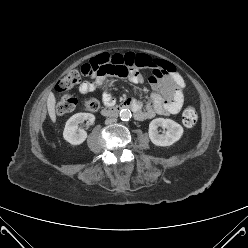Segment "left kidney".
<instances>
[{"instance_id":"1","label":"left kidney","mask_w":248,"mask_h":248,"mask_svg":"<svg viewBox=\"0 0 248 248\" xmlns=\"http://www.w3.org/2000/svg\"><path fill=\"white\" fill-rule=\"evenodd\" d=\"M158 127L167 129L164 134L158 133ZM183 135V127L171 119L156 118L149 124V138L157 146H170Z\"/></svg>"}]
</instances>
